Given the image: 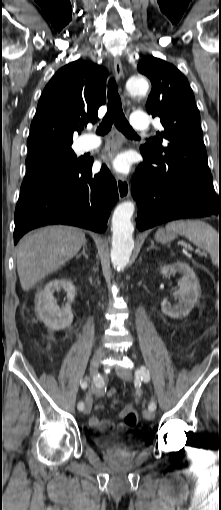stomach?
I'll list each match as a JSON object with an SVG mask.
<instances>
[{
  "instance_id": "1",
  "label": "stomach",
  "mask_w": 221,
  "mask_h": 510,
  "mask_svg": "<svg viewBox=\"0 0 221 510\" xmlns=\"http://www.w3.org/2000/svg\"><path fill=\"white\" fill-rule=\"evenodd\" d=\"M175 238L174 233L164 229H159L155 234V239L161 243H167Z\"/></svg>"
}]
</instances>
